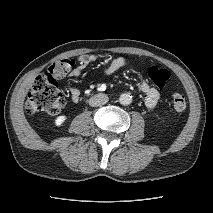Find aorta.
<instances>
[{
    "instance_id": "762f6f07",
    "label": "aorta",
    "mask_w": 213,
    "mask_h": 213,
    "mask_svg": "<svg viewBox=\"0 0 213 213\" xmlns=\"http://www.w3.org/2000/svg\"><path fill=\"white\" fill-rule=\"evenodd\" d=\"M119 102L122 105H129L132 102V96L128 93H123L120 95Z\"/></svg>"
}]
</instances>
